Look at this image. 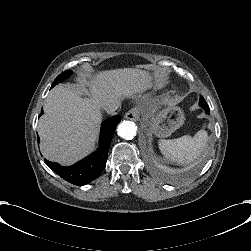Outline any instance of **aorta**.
<instances>
[{
  "label": "aorta",
  "mask_w": 251,
  "mask_h": 251,
  "mask_svg": "<svg viewBox=\"0 0 251 251\" xmlns=\"http://www.w3.org/2000/svg\"><path fill=\"white\" fill-rule=\"evenodd\" d=\"M137 127L132 121H123L117 128V133L120 137L131 140L136 136Z\"/></svg>",
  "instance_id": "762f6f07"
}]
</instances>
